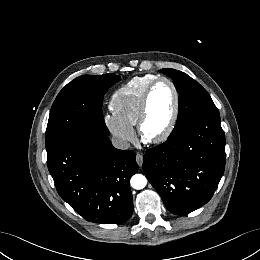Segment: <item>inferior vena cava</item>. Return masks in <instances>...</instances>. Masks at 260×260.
<instances>
[{"instance_id": "602c4592", "label": "inferior vena cava", "mask_w": 260, "mask_h": 260, "mask_svg": "<svg viewBox=\"0 0 260 260\" xmlns=\"http://www.w3.org/2000/svg\"><path fill=\"white\" fill-rule=\"evenodd\" d=\"M111 142L112 145L117 149L126 150L130 147V143L127 140L122 139L120 137H113L111 139Z\"/></svg>"}]
</instances>
